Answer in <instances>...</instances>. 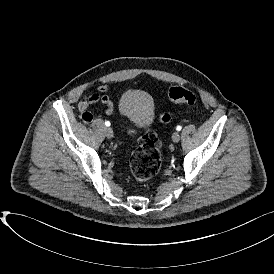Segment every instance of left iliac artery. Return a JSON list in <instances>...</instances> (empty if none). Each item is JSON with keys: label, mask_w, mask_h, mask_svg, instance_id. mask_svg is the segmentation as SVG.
Here are the masks:
<instances>
[{"label": "left iliac artery", "mask_w": 274, "mask_h": 274, "mask_svg": "<svg viewBox=\"0 0 274 274\" xmlns=\"http://www.w3.org/2000/svg\"><path fill=\"white\" fill-rule=\"evenodd\" d=\"M182 129V127L180 126V125H178L177 127H176V130L177 131H180Z\"/></svg>", "instance_id": "obj_1"}]
</instances>
